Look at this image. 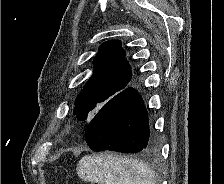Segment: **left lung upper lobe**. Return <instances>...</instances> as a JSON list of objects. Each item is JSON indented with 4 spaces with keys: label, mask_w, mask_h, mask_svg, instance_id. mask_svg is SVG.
Listing matches in <instances>:
<instances>
[{
    "label": "left lung upper lobe",
    "mask_w": 224,
    "mask_h": 184,
    "mask_svg": "<svg viewBox=\"0 0 224 184\" xmlns=\"http://www.w3.org/2000/svg\"><path fill=\"white\" fill-rule=\"evenodd\" d=\"M130 80L131 68L120 41L103 43L94 59L93 75L77 96L74 115L80 121L91 119L109 99L123 91Z\"/></svg>",
    "instance_id": "5c2ea615"
}]
</instances>
